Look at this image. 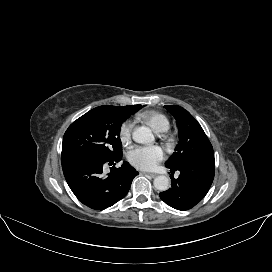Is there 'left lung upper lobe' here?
Wrapping results in <instances>:
<instances>
[{
  "label": "left lung upper lobe",
  "instance_id": "left-lung-upper-lobe-1",
  "mask_svg": "<svg viewBox=\"0 0 272 272\" xmlns=\"http://www.w3.org/2000/svg\"><path fill=\"white\" fill-rule=\"evenodd\" d=\"M165 108L176 119L179 132V143L165 163L167 168H176L188 160L213 154V147L202 127L187 110L177 105Z\"/></svg>",
  "mask_w": 272,
  "mask_h": 272
}]
</instances>
